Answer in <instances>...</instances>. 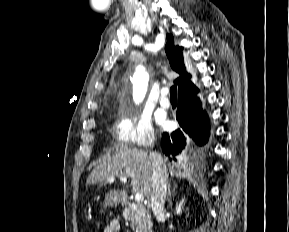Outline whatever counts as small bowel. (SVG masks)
<instances>
[{"instance_id": "obj_1", "label": "small bowel", "mask_w": 289, "mask_h": 232, "mask_svg": "<svg viewBox=\"0 0 289 232\" xmlns=\"http://www.w3.org/2000/svg\"><path fill=\"white\" fill-rule=\"evenodd\" d=\"M120 229V224L118 221L113 220L108 225L105 226L103 232H118Z\"/></svg>"}]
</instances>
